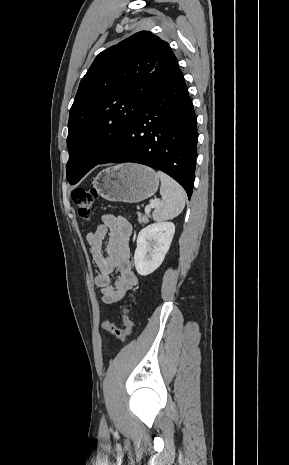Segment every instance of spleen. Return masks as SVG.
I'll return each instance as SVG.
<instances>
[{
    "label": "spleen",
    "mask_w": 289,
    "mask_h": 465,
    "mask_svg": "<svg viewBox=\"0 0 289 465\" xmlns=\"http://www.w3.org/2000/svg\"><path fill=\"white\" fill-rule=\"evenodd\" d=\"M161 180L160 195L162 200L155 207L153 220L164 221L178 216L184 209L186 193L184 189L171 177L158 171Z\"/></svg>",
    "instance_id": "1"
}]
</instances>
